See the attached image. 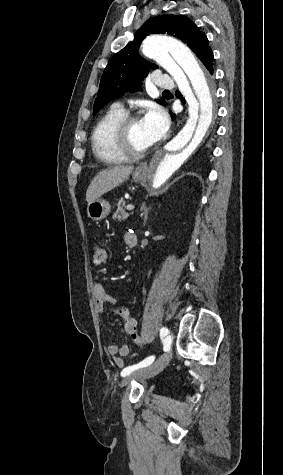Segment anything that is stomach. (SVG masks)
Wrapping results in <instances>:
<instances>
[{"label": "stomach", "instance_id": "0dacf381", "mask_svg": "<svg viewBox=\"0 0 283 475\" xmlns=\"http://www.w3.org/2000/svg\"><path fill=\"white\" fill-rule=\"evenodd\" d=\"M132 178L134 182H138V184H142V182H146L147 176V168L146 166H138L136 170H134L132 174ZM111 212V206L109 202L106 200H102V198H98V200H94V202H88L87 206V214L88 218L94 220V222H99V220H104L108 214Z\"/></svg>", "mask_w": 283, "mask_h": 475}]
</instances>
